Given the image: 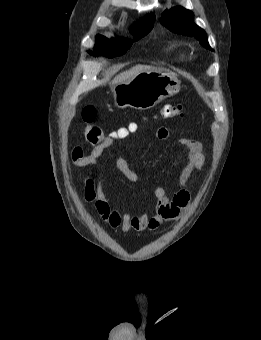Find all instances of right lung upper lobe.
Returning <instances> with one entry per match:
<instances>
[{"label": "right lung upper lobe", "instance_id": "obj_1", "mask_svg": "<svg viewBox=\"0 0 261 340\" xmlns=\"http://www.w3.org/2000/svg\"><path fill=\"white\" fill-rule=\"evenodd\" d=\"M155 21V16L153 13L145 16L143 19H141L140 21H138L136 24H141V23H150V22H154Z\"/></svg>", "mask_w": 261, "mask_h": 340}]
</instances>
